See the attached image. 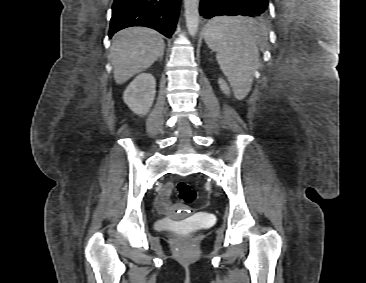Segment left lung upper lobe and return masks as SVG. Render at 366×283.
<instances>
[{
  "mask_svg": "<svg viewBox=\"0 0 366 283\" xmlns=\"http://www.w3.org/2000/svg\"><path fill=\"white\" fill-rule=\"evenodd\" d=\"M262 1H264L265 3H266V5L268 6V3H269V0H262ZM268 16V12H266V13H264V14H262V15H260V16H258V17H255L256 19L257 18H266Z\"/></svg>",
  "mask_w": 366,
  "mask_h": 283,
  "instance_id": "5c2ea615",
  "label": "left lung upper lobe"
}]
</instances>
